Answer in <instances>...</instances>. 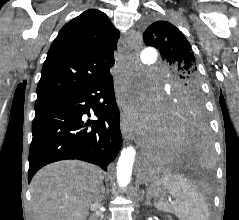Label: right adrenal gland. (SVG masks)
Listing matches in <instances>:
<instances>
[{
    "mask_svg": "<svg viewBox=\"0 0 239 220\" xmlns=\"http://www.w3.org/2000/svg\"><path fill=\"white\" fill-rule=\"evenodd\" d=\"M104 193H105V187L102 184L101 187L99 188L98 192H97V199L102 200L104 198Z\"/></svg>",
    "mask_w": 239,
    "mask_h": 220,
    "instance_id": "2a0ac1e0",
    "label": "right adrenal gland"
}]
</instances>
